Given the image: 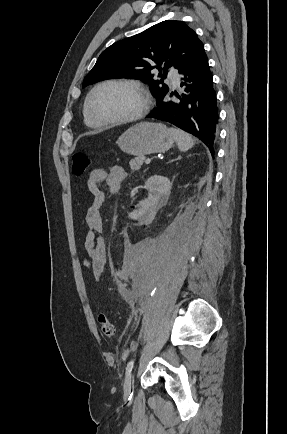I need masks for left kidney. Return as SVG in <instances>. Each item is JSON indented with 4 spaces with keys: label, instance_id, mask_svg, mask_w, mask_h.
Instances as JSON below:
<instances>
[{
    "label": "left kidney",
    "instance_id": "1",
    "mask_svg": "<svg viewBox=\"0 0 287 434\" xmlns=\"http://www.w3.org/2000/svg\"><path fill=\"white\" fill-rule=\"evenodd\" d=\"M145 185L149 191L148 197L146 200L141 201L137 205V209L129 214L131 219H140L147 210L164 202L170 194L171 183L166 177L154 175L147 179Z\"/></svg>",
    "mask_w": 287,
    "mask_h": 434
}]
</instances>
